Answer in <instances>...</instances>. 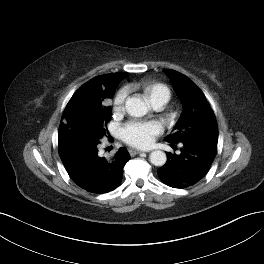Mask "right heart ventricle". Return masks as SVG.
Wrapping results in <instances>:
<instances>
[{"label": "right heart ventricle", "mask_w": 264, "mask_h": 264, "mask_svg": "<svg viewBox=\"0 0 264 264\" xmlns=\"http://www.w3.org/2000/svg\"><path fill=\"white\" fill-rule=\"evenodd\" d=\"M136 86L142 90L151 104L157 101L167 103L171 98L170 89L163 83L144 81Z\"/></svg>", "instance_id": "1"}]
</instances>
